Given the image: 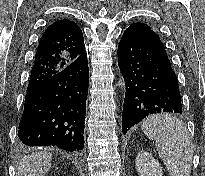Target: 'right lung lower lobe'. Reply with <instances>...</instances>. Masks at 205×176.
Returning <instances> with one entry per match:
<instances>
[{
  "instance_id": "98d812e1",
  "label": "right lung lower lobe",
  "mask_w": 205,
  "mask_h": 176,
  "mask_svg": "<svg viewBox=\"0 0 205 176\" xmlns=\"http://www.w3.org/2000/svg\"><path fill=\"white\" fill-rule=\"evenodd\" d=\"M88 83L84 52L59 73L27 90L18 130L22 145L82 150Z\"/></svg>"
}]
</instances>
